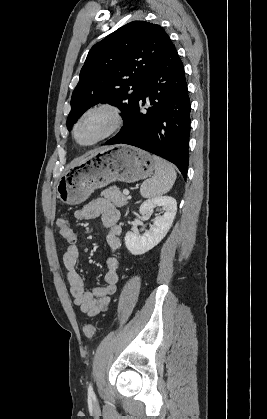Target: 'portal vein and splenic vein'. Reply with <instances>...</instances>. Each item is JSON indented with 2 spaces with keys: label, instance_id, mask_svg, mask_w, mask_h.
<instances>
[{
  "label": "portal vein and splenic vein",
  "instance_id": "18ae733b",
  "mask_svg": "<svg viewBox=\"0 0 267 419\" xmlns=\"http://www.w3.org/2000/svg\"><path fill=\"white\" fill-rule=\"evenodd\" d=\"M123 194L124 195H129V190H127V189L123 190Z\"/></svg>",
  "mask_w": 267,
  "mask_h": 419
}]
</instances>
